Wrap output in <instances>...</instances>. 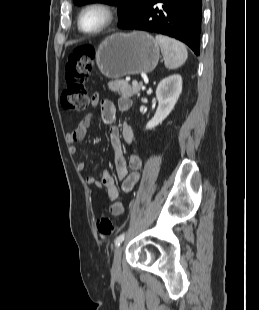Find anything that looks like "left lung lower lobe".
Segmentation results:
<instances>
[{
  "label": "left lung lower lobe",
  "instance_id": "0a47b994",
  "mask_svg": "<svg viewBox=\"0 0 259 310\" xmlns=\"http://www.w3.org/2000/svg\"><path fill=\"white\" fill-rule=\"evenodd\" d=\"M161 3L160 9L155 6ZM202 0H151L146 8L119 28L157 32L200 53Z\"/></svg>",
  "mask_w": 259,
  "mask_h": 310
}]
</instances>
